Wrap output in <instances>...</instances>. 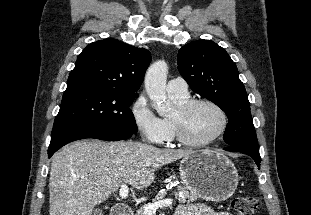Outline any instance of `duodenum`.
Returning a JSON list of instances; mask_svg holds the SVG:
<instances>
[{"mask_svg": "<svg viewBox=\"0 0 311 215\" xmlns=\"http://www.w3.org/2000/svg\"><path fill=\"white\" fill-rule=\"evenodd\" d=\"M112 215H132V212L128 206L119 204L114 206Z\"/></svg>", "mask_w": 311, "mask_h": 215, "instance_id": "duodenum-1", "label": "duodenum"}]
</instances>
